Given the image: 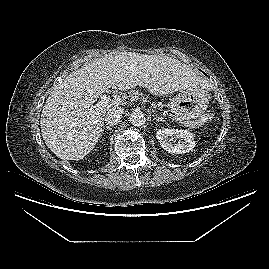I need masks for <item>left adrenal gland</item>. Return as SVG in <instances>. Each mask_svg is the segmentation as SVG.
I'll use <instances>...</instances> for the list:
<instances>
[{
  "instance_id": "left-adrenal-gland-1",
  "label": "left adrenal gland",
  "mask_w": 269,
  "mask_h": 269,
  "mask_svg": "<svg viewBox=\"0 0 269 269\" xmlns=\"http://www.w3.org/2000/svg\"><path fill=\"white\" fill-rule=\"evenodd\" d=\"M156 121L165 122L162 117L155 116L154 118Z\"/></svg>"
}]
</instances>
